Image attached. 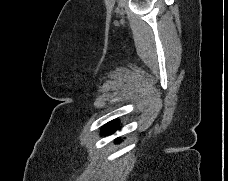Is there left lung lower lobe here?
Segmentation results:
<instances>
[{
    "label": "left lung lower lobe",
    "mask_w": 228,
    "mask_h": 181,
    "mask_svg": "<svg viewBox=\"0 0 228 181\" xmlns=\"http://www.w3.org/2000/svg\"><path fill=\"white\" fill-rule=\"evenodd\" d=\"M119 124L109 127V128H103V134H112L118 129Z\"/></svg>",
    "instance_id": "0a47b994"
}]
</instances>
